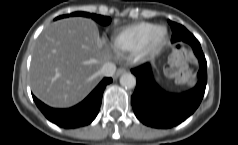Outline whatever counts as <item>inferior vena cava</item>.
Masks as SVG:
<instances>
[{
  "mask_svg": "<svg viewBox=\"0 0 238 145\" xmlns=\"http://www.w3.org/2000/svg\"><path fill=\"white\" fill-rule=\"evenodd\" d=\"M116 71V66L112 62H106L103 64L100 73L106 77H112Z\"/></svg>",
  "mask_w": 238,
  "mask_h": 145,
  "instance_id": "inferior-vena-cava-1",
  "label": "inferior vena cava"
}]
</instances>
